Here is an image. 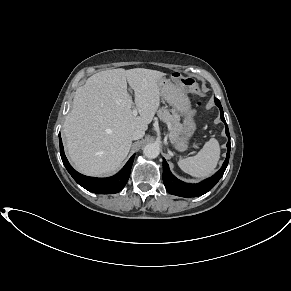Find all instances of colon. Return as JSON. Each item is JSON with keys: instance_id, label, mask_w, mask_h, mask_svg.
<instances>
[{"instance_id": "5ec220e1", "label": "colon", "mask_w": 291, "mask_h": 291, "mask_svg": "<svg viewBox=\"0 0 291 291\" xmlns=\"http://www.w3.org/2000/svg\"><path fill=\"white\" fill-rule=\"evenodd\" d=\"M175 78L180 81V83L184 86H193L194 80L191 77H187L184 75H181L179 73L175 74Z\"/></svg>"}]
</instances>
